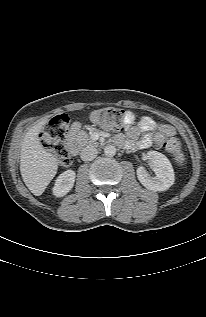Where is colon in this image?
Returning <instances> with one entry per match:
<instances>
[{
    "mask_svg": "<svg viewBox=\"0 0 206 317\" xmlns=\"http://www.w3.org/2000/svg\"><path fill=\"white\" fill-rule=\"evenodd\" d=\"M90 120L105 129L119 130L124 125L125 112L115 107L97 109L91 113ZM68 124L69 117L61 114L56 116L40 135L44 147L55 153L59 164L63 167L72 163L70 152L65 145V130ZM161 148L170 152H178L180 144L173 134L162 141Z\"/></svg>",
    "mask_w": 206,
    "mask_h": 317,
    "instance_id": "colon-1",
    "label": "colon"
}]
</instances>
